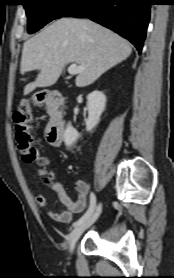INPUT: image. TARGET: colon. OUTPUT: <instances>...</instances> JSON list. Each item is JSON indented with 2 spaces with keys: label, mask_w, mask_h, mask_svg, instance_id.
<instances>
[{
  "label": "colon",
  "mask_w": 174,
  "mask_h": 278,
  "mask_svg": "<svg viewBox=\"0 0 174 278\" xmlns=\"http://www.w3.org/2000/svg\"><path fill=\"white\" fill-rule=\"evenodd\" d=\"M15 123V136L18 150L22 155L23 161L34 162L38 157V151L33 146L30 133L31 106L28 101H23L13 115ZM48 182V179H46Z\"/></svg>",
  "instance_id": "5ec220e1"
}]
</instances>
